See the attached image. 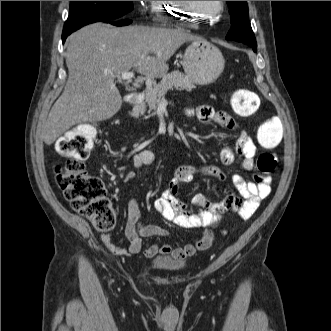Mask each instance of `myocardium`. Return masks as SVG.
<instances>
[{"label": "myocardium", "mask_w": 331, "mask_h": 331, "mask_svg": "<svg viewBox=\"0 0 331 331\" xmlns=\"http://www.w3.org/2000/svg\"><path fill=\"white\" fill-rule=\"evenodd\" d=\"M186 12L181 16L189 17V21L194 22V20H207L212 17L220 15L224 10V1H217L218 7L214 14H203L195 10L191 1H178Z\"/></svg>", "instance_id": "f54148a6"}]
</instances>
